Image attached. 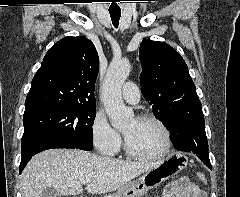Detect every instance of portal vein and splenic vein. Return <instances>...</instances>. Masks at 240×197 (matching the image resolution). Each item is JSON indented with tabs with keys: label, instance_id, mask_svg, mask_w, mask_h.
<instances>
[{
	"label": "portal vein and splenic vein",
	"instance_id": "1",
	"mask_svg": "<svg viewBox=\"0 0 240 197\" xmlns=\"http://www.w3.org/2000/svg\"><path fill=\"white\" fill-rule=\"evenodd\" d=\"M89 182H91V180H85V181H84V183H89Z\"/></svg>",
	"mask_w": 240,
	"mask_h": 197
}]
</instances>
